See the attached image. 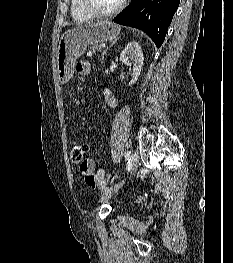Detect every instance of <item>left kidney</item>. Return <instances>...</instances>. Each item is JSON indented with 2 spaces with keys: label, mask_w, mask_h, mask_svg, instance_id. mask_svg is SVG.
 Wrapping results in <instances>:
<instances>
[{
  "label": "left kidney",
  "mask_w": 233,
  "mask_h": 263,
  "mask_svg": "<svg viewBox=\"0 0 233 263\" xmlns=\"http://www.w3.org/2000/svg\"><path fill=\"white\" fill-rule=\"evenodd\" d=\"M120 61L125 65L132 64V80L130 81L129 85H133L138 80V77L141 73L142 66H143V53L141 46L137 42H130L124 50L120 54Z\"/></svg>",
  "instance_id": "5707ae66"
}]
</instances>
